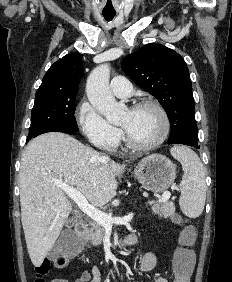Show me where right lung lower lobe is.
<instances>
[{
	"mask_svg": "<svg viewBox=\"0 0 232 282\" xmlns=\"http://www.w3.org/2000/svg\"><path fill=\"white\" fill-rule=\"evenodd\" d=\"M52 131L63 132V133H67V134H74L75 133V131L68 129V128H65V127H61V126H56L52 129L48 130L47 132H52ZM29 140L30 139H27V141H29Z\"/></svg>",
	"mask_w": 232,
	"mask_h": 282,
	"instance_id": "1",
	"label": "right lung lower lobe"
}]
</instances>
